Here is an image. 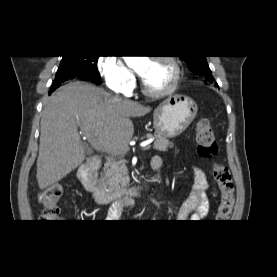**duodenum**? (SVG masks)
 <instances>
[{"instance_id":"duodenum-1","label":"duodenum","mask_w":277,"mask_h":277,"mask_svg":"<svg viewBox=\"0 0 277 277\" xmlns=\"http://www.w3.org/2000/svg\"><path fill=\"white\" fill-rule=\"evenodd\" d=\"M99 164V159L94 157L82 164L78 169V177L81 183L86 191L95 196V200L99 205H104L110 200L115 199L125 206H130L134 197L139 196L150 187L148 183L140 182L121 190L118 194L109 193L95 175Z\"/></svg>"}]
</instances>
